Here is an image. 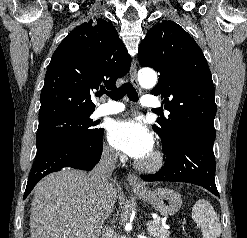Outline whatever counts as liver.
<instances>
[{"label": "liver", "mask_w": 247, "mask_h": 238, "mask_svg": "<svg viewBox=\"0 0 247 238\" xmlns=\"http://www.w3.org/2000/svg\"><path fill=\"white\" fill-rule=\"evenodd\" d=\"M116 197L113 184L100 192L83 171L52 173L35 186L30 238H99Z\"/></svg>", "instance_id": "liver-1"}]
</instances>
